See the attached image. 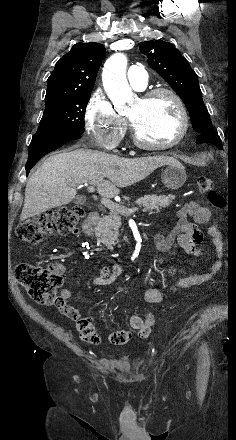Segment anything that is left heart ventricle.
<instances>
[{
	"instance_id": "obj_1",
	"label": "left heart ventricle",
	"mask_w": 236,
	"mask_h": 440,
	"mask_svg": "<svg viewBox=\"0 0 236 440\" xmlns=\"http://www.w3.org/2000/svg\"><path fill=\"white\" fill-rule=\"evenodd\" d=\"M141 137L153 144L173 140L180 130V116L175 103L167 95L143 101L138 99L128 114Z\"/></svg>"
}]
</instances>
